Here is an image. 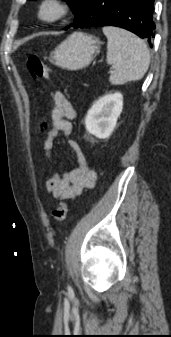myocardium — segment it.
<instances>
[{
  "mask_svg": "<svg viewBox=\"0 0 171 337\" xmlns=\"http://www.w3.org/2000/svg\"><path fill=\"white\" fill-rule=\"evenodd\" d=\"M52 10L51 14L47 11ZM71 4L68 0H40L36 14L39 21L45 24H56L62 21L70 12Z\"/></svg>",
  "mask_w": 171,
  "mask_h": 337,
  "instance_id": "obj_1",
  "label": "myocardium"
}]
</instances>
